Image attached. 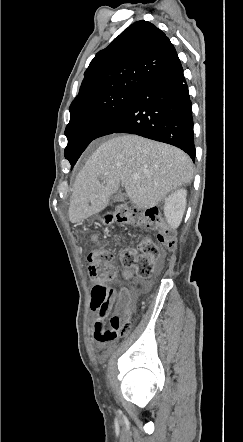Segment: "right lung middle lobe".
Segmentation results:
<instances>
[{
	"instance_id": "obj_1",
	"label": "right lung middle lobe",
	"mask_w": 243,
	"mask_h": 442,
	"mask_svg": "<svg viewBox=\"0 0 243 442\" xmlns=\"http://www.w3.org/2000/svg\"><path fill=\"white\" fill-rule=\"evenodd\" d=\"M134 92L135 90L116 91L70 110V122L65 130L68 144L64 154L71 167Z\"/></svg>"
}]
</instances>
